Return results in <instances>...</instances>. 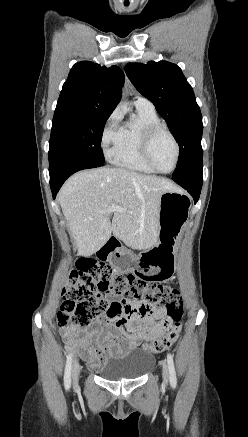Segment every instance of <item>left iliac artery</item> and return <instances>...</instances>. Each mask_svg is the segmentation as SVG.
Returning a JSON list of instances; mask_svg holds the SVG:
<instances>
[{
  "label": "left iliac artery",
  "mask_w": 248,
  "mask_h": 437,
  "mask_svg": "<svg viewBox=\"0 0 248 437\" xmlns=\"http://www.w3.org/2000/svg\"><path fill=\"white\" fill-rule=\"evenodd\" d=\"M167 363L169 369L170 384L173 388H175L177 385V378H176L173 356L170 353L167 354Z\"/></svg>",
  "instance_id": "left-iliac-artery-1"
}]
</instances>
